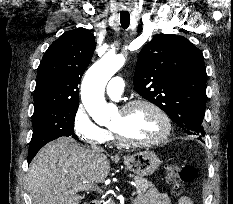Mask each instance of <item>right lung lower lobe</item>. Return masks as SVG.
Wrapping results in <instances>:
<instances>
[{
    "mask_svg": "<svg viewBox=\"0 0 233 204\" xmlns=\"http://www.w3.org/2000/svg\"><path fill=\"white\" fill-rule=\"evenodd\" d=\"M40 149L41 148H29V152H28V164L31 162V160L33 159V157L37 154V152Z\"/></svg>",
    "mask_w": 233,
    "mask_h": 204,
    "instance_id": "98d812e1",
    "label": "right lung lower lobe"
}]
</instances>
